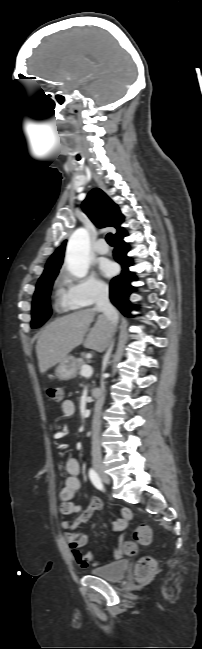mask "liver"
I'll return each instance as SVG.
<instances>
[{
    "instance_id": "6515ba94",
    "label": "liver",
    "mask_w": 202,
    "mask_h": 649,
    "mask_svg": "<svg viewBox=\"0 0 202 649\" xmlns=\"http://www.w3.org/2000/svg\"><path fill=\"white\" fill-rule=\"evenodd\" d=\"M96 314L97 310L94 308L76 311L55 319L39 333L36 353L41 373L60 363L83 342ZM112 330L111 321L104 314L99 315L87 335L84 346L97 352L105 351L109 346Z\"/></svg>"
}]
</instances>
